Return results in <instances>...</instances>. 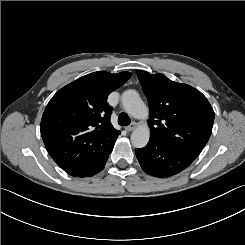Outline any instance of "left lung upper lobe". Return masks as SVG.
<instances>
[{
    "instance_id": "5c2ea615",
    "label": "left lung upper lobe",
    "mask_w": 245,
    "mask_h": 245,
    "mask_svg": "<svg viewBox=\"0 0 245 245\" xmlns=\"http://www.w3.org/2000/svg\"><path fill=\"white\" fill-rule=\"evenodd\" d=\"M149 101L150 139L196 158L212 133L214 111L197 89L163 74L137 72Z\"/></svg>"
}]
</instances>
